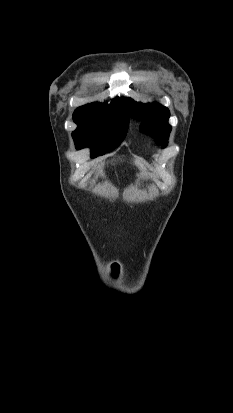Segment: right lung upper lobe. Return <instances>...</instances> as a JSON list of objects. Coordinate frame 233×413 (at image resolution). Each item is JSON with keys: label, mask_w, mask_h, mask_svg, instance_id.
Wrapping results in <instances>:
<instances>
[{"label": "right lung upper lobe", "mask_w": 233, "mask_h": 413, "mask_svg": "<svg viewBox=\"0 0 233 413\" xmlns=\"http://www.w3.org/2000/svg\"><path fill=\"white\" fill-rule=\"evenodd\" d=\"M122 100L124 101V98H122ZM99 104H100V103H99ZM110 104H122V105H124L123 102L121 101V99L118 98V97H117L116 99H113ZM124 106H125V105H124ZM125 107H126V106H125Z\"/></svg>", "instance_id": "obj_1"}]
</instances>
